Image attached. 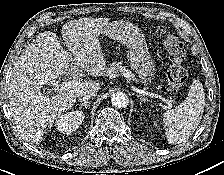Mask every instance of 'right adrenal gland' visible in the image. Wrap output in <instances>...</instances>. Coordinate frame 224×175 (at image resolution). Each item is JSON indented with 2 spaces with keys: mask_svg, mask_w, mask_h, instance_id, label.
I'll use <instances>...</instances> for the list:
<instances>
[{
  "mask_svg": "<svg viewBox=\"0 0 224 175\" xmlns=\"http://www.w3.org/2000/svg\"><path fill=\"white\" fill-rule=\"evenodd\" d=\"M77 105L84 106L87 109L88 106L90 105V102H84V103H80V104H77Z\"/></svg>",
  "mask_w": 224,
  "mask_h": 175,
  "instance_id": "obj_1",
  "label": "right adrenal gland"
}]
</instances>
